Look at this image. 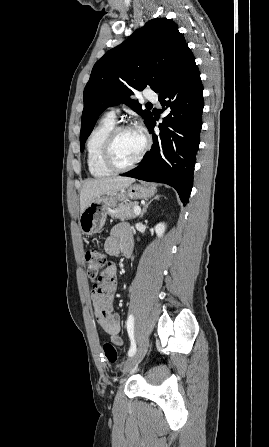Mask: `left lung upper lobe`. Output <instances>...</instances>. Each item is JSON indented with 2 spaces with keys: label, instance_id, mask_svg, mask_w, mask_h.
<instances>
[{
  "label": "left lung upper lobe",
  "instance_id": "1",
  "mask_svg": "<svg viewBox=\"0 0 269 447\" xmlns=\"http://www.w3.org/2000/svg\"><path fill=\"white\" fill-rule=\"evenodd\" d=\"M188 45L176 23L166 18L148 21L126 41L108 51L94 65L84 89L80 149L100 114L109 106L124 102L148 125L152 113L129 96L134 89L150 86L160 93L176 71Z\"/></svg>",
  "mask_w": 269,
  "mask_h": 447
}]
</instances>
